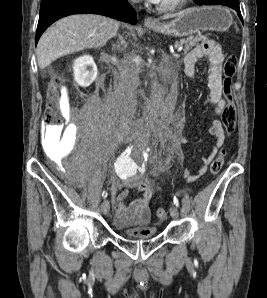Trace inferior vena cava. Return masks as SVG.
<instances>
[{"label": "inferior vena cava", "mask_w": 267, "mask_h": 298, "mask_svg": "<svg viewBox=\"0 0 267 298\" xmlns=\"http://www.w3.org/2000/svg\"><path fill=\"white\" fill-rule=\"evenodd\" d=\"M138 58L135 53L125 56L119 65L120 80L116 87V113L123 120H129L136 112L138 87Z\"/></svg>", "instance_id": "obj_1"}]
</instances>
